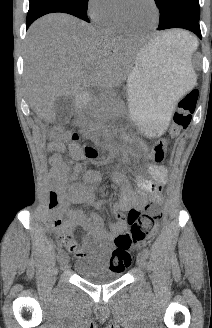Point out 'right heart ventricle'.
<instances>
[{
    "label": "right heart ventricle",
    "instance_id": "right-heart-ventricle-1",
    "mask_svg": "<svg viewBox=\"0 0 212 328\" xmlns=\"http://www.w3.org/2000/svg\"><path fill=\"white\" fill-rule=\"evenodd\" d=\"M99 26L112 34H125L129 33L127 30L124 29V27L121 25L117 13L115 10H113L111 13H109L104 19H102L99 22Z\"/></svg>",
    "mask_w": 212,
    "mask_h": 328
}]
</instances>
